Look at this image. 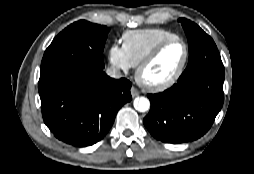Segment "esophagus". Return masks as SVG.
I'll return each instance as SVG.
<instances>
[{
	"instance_id": "esophagus-1",
	"label": "esophagus",
	"mask_w": 254,
	"mask_h": 174,
	"mask_svg": "<svg viewBox=\"0 0 254 174\" xmlns=\"http://www.w3.org/2000/svg\"><path fill=\"white\" fill-rule=\"evenodd\" d=\"M139 94H140V92H139V90L137 88H135V87L131 88V95H132V97H136Z\"/></svg>"
}]
</instances>
